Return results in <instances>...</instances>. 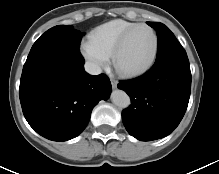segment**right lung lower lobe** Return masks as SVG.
I'll use <instances>...</instances> for the list:
<instances>
[{"label":"right lung lower lobe","mask_w":219,"mask_h":174,"mask_svg":"<svg viewBox=\"0 0 219 174\" xmlns=\"http://www.w3.org/2000/svg\"><path fill=\"white\" fill-rule=\"evenodd\" d=\"M77 50H54L24 65L19 97L29 125L52 141L78 136L87 126L92 109L107 100L109 78L84 71Z\"/></svg>","instance_id":"right-lung-lower-lobe-1"}]
</instances>
